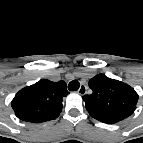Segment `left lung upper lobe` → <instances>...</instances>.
I'll return each instance as SVG.
<instances>
[{
    "mask_svg": "<svg viewBox=\"0 0 143 143\" xmlns=\"http://www.w3.org/2000/svg\"><path fill=\"white\" fill-rule=\"evenodd\" d=\"M92 94L83 96L89 114L104 123H114L130 116L138 101L132 87L103 74L89 81Z\"/></svg>",
    "mask_w": 143,
    "mask_h": 143,
    "instance_id": "1",
    "label": "left lung upper lobe"
}]
</instances>
